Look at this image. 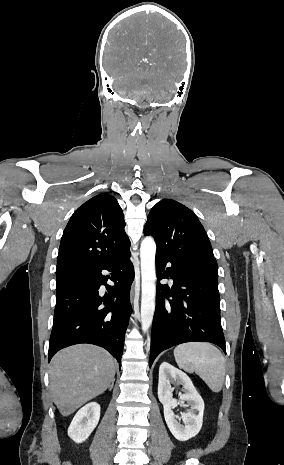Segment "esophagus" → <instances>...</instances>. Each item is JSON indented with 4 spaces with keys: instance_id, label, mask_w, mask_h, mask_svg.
Returning <instances> with one entry per match:
<instances>
[{
    "instance_id": "1",
    "label": "esophagus",
    "mask_w": 284,
    "mask_h": 465,
    "mask_svg": "<svg viewBox=\"0 0 284 465\" xmlns=\"http://www.w3.org/2000/svg\"><path fill=\"white\" fill-rule=\"evenodd\" d=\"M133 297H134V290L133 288L131 289V292H130V299L131 301H133Z\"/></svg>"
}]
</instances>
